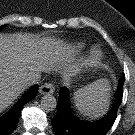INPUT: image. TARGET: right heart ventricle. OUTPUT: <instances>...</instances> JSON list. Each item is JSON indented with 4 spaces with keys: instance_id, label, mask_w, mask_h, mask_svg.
I'll use <instances>...</instances> for the list:
<instances>
[{
    "instance_id": "e07e8e85",
    "label": "right heart ventricle",
    "mask_w": 135,
    "mask_h": 135,
    "mask_svg": "<svg viewBox=\"0 0 135 135\" xmlns=\"http://www.w3.org/2000/svg\"><path fill=\"white\" fill-rule=\"evenodd\" d=\"M83 47H84L83 44H79V45H78V48H79V49H81V48H83Z\"/></svg>"
}]
</instances>
